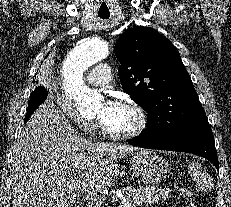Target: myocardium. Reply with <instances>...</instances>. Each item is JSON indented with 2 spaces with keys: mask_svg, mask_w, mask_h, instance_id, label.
I'll return each mask as SVG.
<instances>
[{
  "mask_svg": "<svg viewBox=\"0 0 231 207\" xmlns=\"http://www.w3.org/2000/svg\"><path fill=\"white\" fill-rule=\"evenodd\" d=\"M117 103L125 104L135 112L137 116V125L128 132H113L101 122L100 127L102 133L106 137L114 140H129L140 136L148 126V116L144 108L137 101L128 96L118 97Z\"/></svg>",
  "mask_w": 231,
  "mask_h": 207,
  "instance_id": "myocardium-1",
  "label": "myocardium"
}]
</instances>
